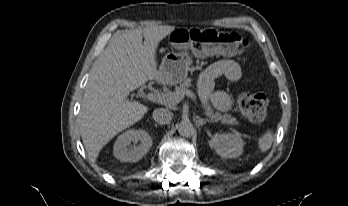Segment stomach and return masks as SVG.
Here are the masks:
<instances>
[{"instance_id": "obj_1", "label": "stomach", "mask_w": 348, "mask_h": 206, "mask_svg": "<svg viewBox=\"0 0 348 206\" xmlns=\"http://www.w3.org/2000/svg\"><path fill=\"white\" fill-rule=\"evenodd\" d=\"M196 44L203 45V41L184 40L178 43L179 49L177 52L171 51L164 56L159 67L161 81L167 84H177L187 77L189 67L192 64L193 55H201V53L193 51Z\"/></svg>"}]
</instances>
